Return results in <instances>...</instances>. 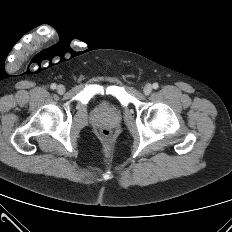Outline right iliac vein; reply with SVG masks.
Returning a JSON list of instances; mask_svg holds the SVG:
<instances>
[{"label":"right iliac vein","instance_id":"63e3f726","mask_svg":"<svg viewBox=\"0 0 232 232\" xmlns=\"http://www.w3.org/2000/svg\"><path fill=\"white\" fill-rule=\"evenodd\" d=\"M57 92H58L59 94H63V93L65 92V87H64L63 85H59V86L57 87Z\"/></svg>","mask_w":232,"mask_h":232}]
</instances>
